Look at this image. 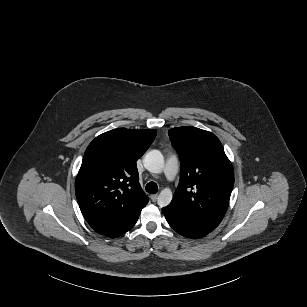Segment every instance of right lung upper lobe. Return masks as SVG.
<instances>
[{
  "label": "right lung upper lobe",
  "instance_id": "cb5924a9",
  "mask_svg": "<svg viewBox=\"0 0 307 307\" xmlns=\"http://www.w3.org/2000/svg\"><path fill=\"white\" fill-rule=\"evenodd\" d=\"M155 136L156 130L118 128L99 135L87 147L75 193L84 218L96 232L110 234L148 203L136 161Z\"/></svg>",
  "mask_w": 307,
  "mask_h": 307
}]
</instances>
